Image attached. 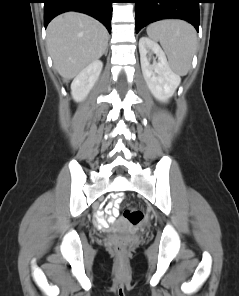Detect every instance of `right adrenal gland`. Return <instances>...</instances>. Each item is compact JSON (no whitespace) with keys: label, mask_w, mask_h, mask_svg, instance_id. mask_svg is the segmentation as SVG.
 <instances>
[{"label":"right adrenal gland","mask_w":239,"mask_h":296,"mask_svg":"<svg viewBox=\"0 0 239 296\" xmlns=\"http://www.w3.org/2000/svg\"><path fill=\"white\" fill-rule=\"evenodd\" d=\"M107 52H108V49H106V51H105V55H107Z\"/></svg>","instance_id":"obj_1"}]
</instances>
